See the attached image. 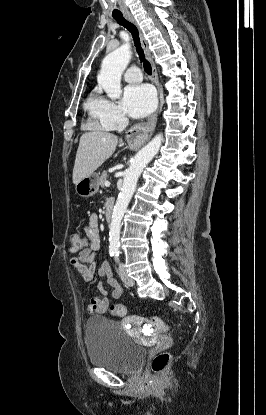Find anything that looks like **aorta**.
<instances>
[{"instance_id": "obj_1", "label": "aorta", "mask_w": 266, "mask_h": 415, "mask_svg": "<svg viewBox=\"0 0 266 415\" xmlns=\"http://www.w3.org/2000/svg\"><path fill=\"white\" fill-rule=\"evenodd\" d=\"M131 50L128 45H122L109 53L102 61L98 83L103 87L107 96L112 100L118 99L121 94V75L131 59ZM162 134L156 135L133 158L130 167L124 175L123 186L114 206L109 232V249L118 251L122 219L128 204L136 189L137 181L144 167L158 153L162 144Z\"/></svg>"}]
</instances>
